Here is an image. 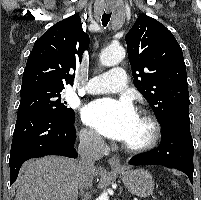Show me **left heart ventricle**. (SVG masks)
Returning a JSON list of instances; mask_svg holds the SVG:
<instances>
[{
  "mask_svg": "<svg viewBox=\"0 0 201 200\" xmlns=\"http://www.w3.org/2000/svg\"><path fill=\"white\" fill-rule=\"evenodd\" d=\"M151 135V127L149 123L139 115H137L130 134L124 143L132 146H137L148 141Z\"/></svg>",
  "mask_w": 201,
  "mask_h": 200,
  "instance_id": "1",
  "label": "left heart ventricle"
}]
</instances>
